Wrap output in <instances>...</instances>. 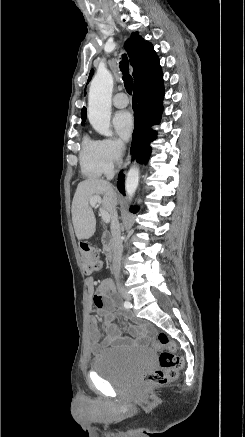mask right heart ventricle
<instances>
[{"label": "right heart ventricle", "mask_w": 245, "mask_h": 437, "mask_svg": "<svg viewBox=\"0 0 245 437\" xmlns=\"http://www.w3.org/2000/svg\"><path fill=\"white\" fill-rule=\"evenodd\" d=\"M80 165L82 172L90 178H99L105 174L99 156L98 141L84 136L80 151Z\"/></svg>", "instance_id": "e07e8e85"}]
</instances>
